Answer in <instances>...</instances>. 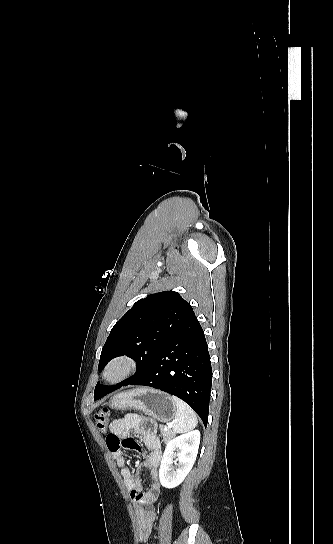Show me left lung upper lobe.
I'll return each instance as SVG.
<instances>
[{"mask_svg":"<svg viewBox=\"0 0 333 544\" xmlns=\"http://www.w3.org/2000/svg\"><path fill=\"white\" fill-rule=\"evenodd\" d=\"M191 311L190 304L174 291L159 292L138 300L112 328L98 365L99 370H103L111 359L127 355L136 361V373L114 386L97 383L94 397L108 394L143 374Z\"/></svg>","mask_w":333,"mask_h":544,"instance_id":"obj_1","label":"left lung upper lobe"}]
</instances>
